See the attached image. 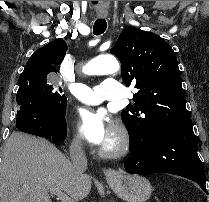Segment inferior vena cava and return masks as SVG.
Here are the masks:
<instances>
[{"label": "inferior vena cava", "mask_w": 209, "mask_h": 202, "mask_svg": "<svg viewBox=\"0 0 209 202\" xmlns=\"http://www.w3.org/2000/svg\"><path fill=\"white\" fill-rule=\"evenodd\" d=\"M70 157L75 173L83 175L87 169V158L80 139L74 140L70 146Z\"/></svg>", "instance_id": "inferior-vena-cava-1"}]
</instances>
